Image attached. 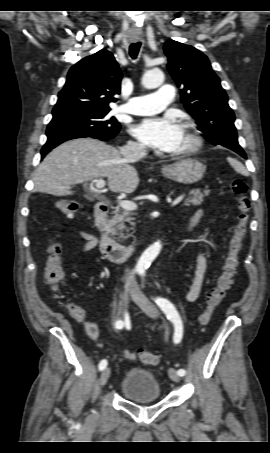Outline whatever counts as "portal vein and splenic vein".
<instances>
[{"instance_id":"1","label":"portal vein and splenic vein","mask_w":270,"mask_h":453,"mask_svg":"<svg viewBox=\"0 0 270 453\" xmlns=\"http://www.w3.org/2000/svg\"><path fill=\"white\" fill-rule=\"evenodd\" d=\"M95 186L97 189H102L104 188L105 186V181L103 179H97L95 180ZM185 195H180L179 197H177L173 202H172V206H176L178 205L183 199H184ZM118 204L121 208H123L124 210H128V211H133V210H136L137 209V205L134 203V202H131V201H127V200H119L118 201Z\"/></svg>"}]
</instances>
